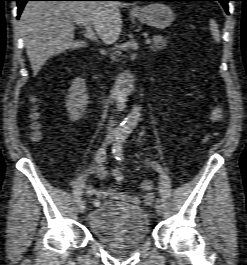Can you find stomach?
I'll list each match as a JSON object with an SVG mask.
<instances>
[{"mask_svg": "<svg viewBox=\"0 0 247 265\" xmlns=\"http://www.w3.org/2000/svg\"><path fill=\"white\" fill-rule=\"evenodd\" d=\"M135 16L143 23L157 29H165L175 19L173 10L164 3H152L135 11Z\"/></svg>", "mask_w": 247, "mask_h": 265, "instance_id": "stomach-1", "label": "stomach"}]
</instances>
